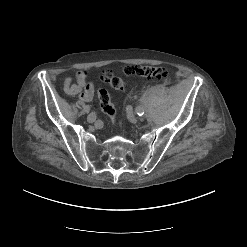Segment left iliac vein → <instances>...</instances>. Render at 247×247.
Returning <instances> with one entry per match:
<instances>
[{"mask_svg":"<svg viewBox=\"0 0 247 247\" xmlns=\"http://www.w3.org/2000/svg\"><path fill=\"white\" fill-rule=\"evenodd\" d=\"M128 118L132 123H136L137 122V117L135 116V114L133 112H129L128 113Z\"/></svg>","mask_w":247,"mask_h":247,"instance_id":"left-iliac-vein-1","label":"left iliac vein"}]
</instances>
